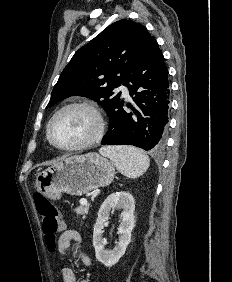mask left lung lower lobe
<instances>
[{"mask_svg":"<svg viewBox=\"0 0 232 282\" xmlns=\"http://www.w3.org/2000/svg\"><path fill=\"white\" fill-rule=\"evenodd\" d=\"M134 105L126 113L120 100L107 114L109 130L102 145H134L144 150H160L166 143L170 104L168 70L154 39L132 73L122 83Z\"/></svg>","mask_w":232,"mask_h":282,"instance_id":"0a47b994","label":"left lung lower lobe"}]
</instances>
